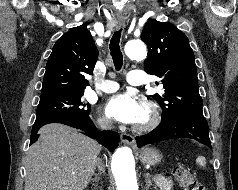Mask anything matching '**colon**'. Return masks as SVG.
Returning <instances> with one entry per match:
<instances>
[{"label":"colon","instance_id":"obj_1","mask_svg":"<svg viewBox=\"0 0 238 190\" xmlns=\"http://www.w3.org/2000/svg\"><path fill=\"white\" fill-rule=\"evenodd\" d=\"M172 174L184 190H204V187L197 181L194 173L189 168L176 165L172 168Z\"/></svg>","mask_w":238,"mask_h":190}]
</instances>
